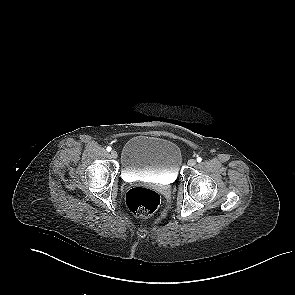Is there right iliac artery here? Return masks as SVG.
<instances>
[{
  "label": "right iliac artery",
  "instance_id": "82829eb1",
  "mask_svg": "<svg viewBox=\"0 0 295 295\" xmlns=\"http://www.w3.org/2000/svg\"><path fill=\"white\" fill-rule=\"evenodd\" d=\"M106 150H107L108 152H110V151H111V147L108 146Z\"/></svg>",
  "mask_w": 295,
  "mask_h": 295
}]
</instances>
